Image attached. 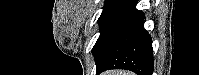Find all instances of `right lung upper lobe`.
<instances>
[{
  "label": "right lung upper lobe",
  "mask_w": 199,
  "mask_h": 75,
  "mask_svg": "<svg viewBox=\"0 0 199 75\" xmlns=\"http://www.w3.org/2000/svg\"><path fill=\"white\" fill-rule=\"evenodd\" d=\"M116 1H118V0H106V1H105V4H106V3L116 2ZM126 1H128V2H129V1H131V0H126Z\"/></svg>",
  "instance_id": "right-lung-upper-lobe-1"
}]
</instances>
